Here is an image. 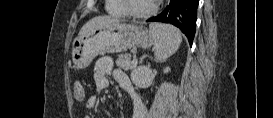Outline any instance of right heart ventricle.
<instances>
[{"instance_id": "e07e8e85", "label": "right heart ventricle", "mask_w": 273, "mask_h": 118, "mask_svg": "<svg viewBox=\"0 0 273 118\" xmlns=\"http://www.w3.org/2000/svg\"><path fill=\"white\" fill-rule=\"evenodd\" d=\"M106 11L112 15H126L123 0H107Z\"/></svg>"}]
</instances>
